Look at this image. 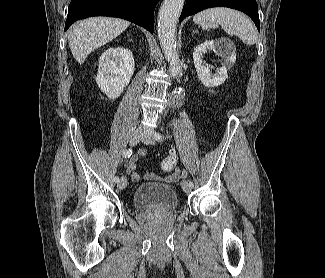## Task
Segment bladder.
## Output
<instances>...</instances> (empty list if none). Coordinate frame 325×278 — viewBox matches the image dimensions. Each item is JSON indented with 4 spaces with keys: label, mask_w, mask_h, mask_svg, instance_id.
<instances>
[{
    "label": "bladder",
    "mask_w": 325,
    "mask_h": 278,
    "mask_svg": "<svg viewBox=\"0 0 325 278\" xmlns=\"http://www.w3.org/2000/svg\"><path fill=\"white\" fill-rule=\"evenodd\" d=\"M135 207L148 211H171L179 204L175 189L168 184L150 182L138 185L133 195Z\"/></svg>",
    "instance_id": "1"
}]
</instances>
